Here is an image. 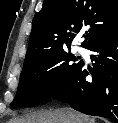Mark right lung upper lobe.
Masks as SVG:
<instances>
[{
  "label": "right lung upper lobe",
  "instance_id": "cb5924a9",
  "mask_svg": "<svg viewBox=\"0 0 118 123\" xmlns=\"http://www.w3.org/2000/svg\"><path fill=\"white\" fill-rule=\"evenodd\" d=\"M86 30L81 46L88 49L118 34V0H44L36 13L24 65L57 50L70 48Z\"/></svg>",
  "mask_w": 118,
  "mask_h": 123
}]
</instances>
